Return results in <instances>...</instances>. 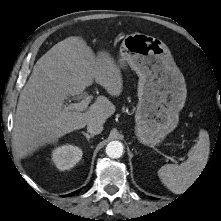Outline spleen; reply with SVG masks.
<instances>
[{"instance_id": "spleen-1", "label": "spleen", "mask_w": 221, "mask_h": 221, "mask_svg": "<svg viewBox=\"0 0 221 221\" xmlns=\"http://www.w3.org/2000/svg\"><path fill=\"white\" fill-rule=\"evenodd\" d=\"M209 152V134L201 129L197 143L188 152L187 161L180 165L162 166L158 176L170 191L181 194L198 178L208 161Z\"/></svg>"}]
</instances>
